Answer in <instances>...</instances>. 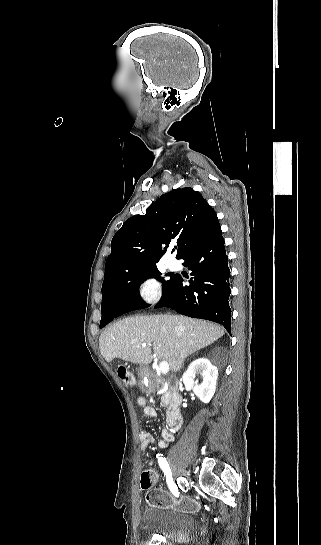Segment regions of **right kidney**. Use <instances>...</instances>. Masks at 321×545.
<instances>
[{"instance_id": "ca27d5eb", "label": "right kidney", "mask_w": 321, "mask_h": 545, "mask_svg": "<svg viewBox=\"0 0 321 545\" xmlns=\"http://www.w3.org/2000/svg\"><path fill=\"white\" fill-rule=\"evenodd\" d=\"M196 375L203 377L200 385H198L197 381L196 383L194 381ZM217 377L218 370L214 365H211L208 359L201 357V359H196L191 363L181 381H183L186 391H193L202 403H209L216 391Z\"/></svg>"}]
</instances>
